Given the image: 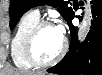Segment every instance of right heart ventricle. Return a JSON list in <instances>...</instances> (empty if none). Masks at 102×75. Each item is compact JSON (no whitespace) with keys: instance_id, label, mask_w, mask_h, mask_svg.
Returning <instances> with one entry per match:
<instances>
[{"instance_id":"e07e8e85","label":"right heart ventricle","mask_w":102,"mask_h":75,"mask_svg":"<svg viewBox=\"0 0 102 75\" xmlns=\"http://www.w3.org/2000/svg\"><path fill=\"white\" fill-rule=\"evenodd\" d=\"M40 16L28 11L20 18L11 41V56L15 65L22 69H29L33 65L29 62L24 51V42L32 27L39 21Z\"/></svg>"}]
</instances>
